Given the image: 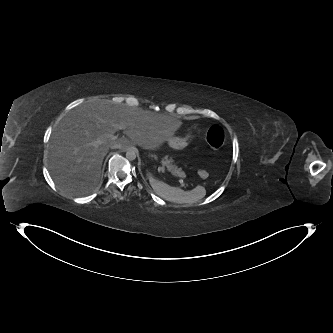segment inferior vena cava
I'll list each match as a JSON object with an SVG mask.
<instances>
[{
  "label": "inferior vena cava",
  "mask_w": 333,
  "mask_h": 333,
  "mask_svg": "<svg viewBox=\"0 0 333 333\" xmlns=\"http://www.w3.org/2000/svg\"><path fill=\"white\" fill-rule=\"evenodd\" d=\"M120 147H121V145L118 144V143H115V144L111 145V148H112V149H118V148H120Z\"/></svg>",
  "instance_id": "obj_1"
}]
</instances>
